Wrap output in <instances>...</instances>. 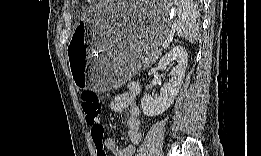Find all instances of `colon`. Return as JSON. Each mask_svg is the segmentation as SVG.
<instances>
[{
	"label": "colon",
	"instance_id": "5ec220e1",
	"mask_svg": "<svg viewBox=\"0 0 261 156\" xmlns=\"http://www.w3.org/2000/svg\"><path fill=\"white\" fill-rule=\"evenodd\" d=\"M81 106L85 115L86 122L93 127L92 139L100 155H104L103 150V127L99 120L102 112V103L99 96L92 91H85L81 94Z\"/></svg>",
	"mask_w": 261,
	"mask_h": 156
}]
</instances>
